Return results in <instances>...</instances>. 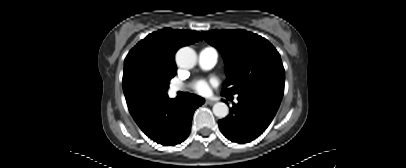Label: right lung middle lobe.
<instances>
[{"label":"right lung middle lobe","instance_id":"1","mask_svg":"<svg viewBox=\"0 0 406 168\" xmlns=\"http://www.w3.org/2000/svg\"><path fill=\"white\" fill-rule=\"evenodd\" d=\"M173 77H160L152 74H142L134 85V98L142 108L156 104L168 97L169 81Z\"/></svg>","mask_w":406,"mask_h":168}]
</instances>
